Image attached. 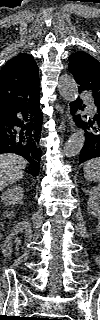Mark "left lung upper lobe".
<instances>
[{"label":"left lung upper lobe","instance_id":"1","mask_svg":"<svg viewBox=\"0 0 100 320\" xmlns=\"http://www.w3.org/2000/svg\"><path fill=\"white\" fill-rule=\"evenodd\" d=\"M69 71L79 85V90H88L100 101V62L83 51L69 56Z\"/></svg>","mask_w":100,"mask_h":320}]
</instances>
